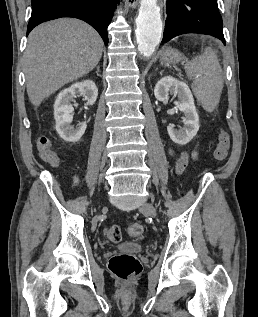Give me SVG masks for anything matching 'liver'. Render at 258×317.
Masks as SVG:
<instances>
[{
  "instance_id": "6515ba94",
  "label": "liver",
  "mask_w": 258,
  "mask_h": 317,
  "mask_svg": "<svg viewBox=\"0 0 258 317\" xmlns=\"http://www.w3.org/2000/svg\"><path fill=\"white\" fill-rule=\"evenodd\" d=\"M103 40L83 20L58 18L31 30L24 52L27 94L34 106L98 64Z\"/></svg>"
}]
</instances>
